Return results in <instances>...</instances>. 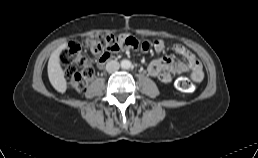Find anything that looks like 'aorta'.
<instances>
[{
  "mask_svg": "<svg viewBox=\"0 0 258 158\" xmlns=\"http://www.w3.org/2000/svg\"><path fill=\"white\" fill-rule=\"evenodd\" d=\"M131 66H132V63L129 61V60H122L121 61V67L123 68V69H130L131 68Z\"/></svg>",
  "mask_w": 258,
  "mask_h": 158,
  "instance_id": "762f6f07",
  "label": "aorta"
}]
</instances>
